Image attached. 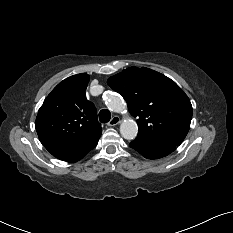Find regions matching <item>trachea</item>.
<instances>
[{
	"mask_svg": "<svg viewBox=\"0 0 233 233\" xmlns=\"http://www.w3.org/2000/svg\"><path fill=\"white\" fill-rule=\"evenodd\" d=\"M111 119V113L109 110L107 109H102L100 112H99V120L100 122L102 123H107L109 122Z\"/></svg>",
	"mask_w": 233,
	"mask_h": 233,
	"instance_id": "1",
	"label": "trachea"
}]
</instances>
